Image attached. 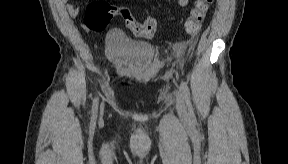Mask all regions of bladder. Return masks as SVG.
Returning <instances> with one entry per match:
<instances>
[{
  "label": "bladder",
  "instance_id": "1",
  "mask_svg": "<svg viewBox=\"0 0 288 164\" xmlns=\"http://www.w3.org/2000/svg\"><path fill=\"white\" fill-rule=\"evenodd\" d=\"M106 51L123 75L134 78L146 72L156 55L151 43L127 40L115 34L109 38Z\"/></svg>",
  "mask_w": 288,
  "mask_h": 164
}]
</instances>
